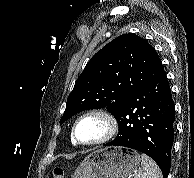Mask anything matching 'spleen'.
<instances>
[{"mask_svg": "<svg viewBox=\"0 0 194 178\" xmlns=\"http://www.w3.org/2000/svg\"><path fill=\"white\" fill-rule=\"evenodd\" d=\"M135 178H162L158 165L147 155H141V168Z\"/></svg>", "mask_w": 194, "mask_h": 178, "instance_id": "1", "label": "spleen"}]
</instances>
